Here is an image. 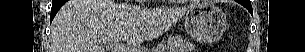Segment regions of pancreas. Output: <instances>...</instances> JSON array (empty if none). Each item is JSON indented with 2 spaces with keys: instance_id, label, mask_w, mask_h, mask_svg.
<instances>
[{
  "instance_id": "cf45deb5",
  "label": "pancreas",
  "mask_w": 305,
  "mask_h": 52,
  "mask_svg": "<svg viewBox=\"0 0 305 52\" xmlns=\"http://www.w3.org/2000/svg\"><path fill=\"white\" fill-rule=\"evenodd\" d=\"M193 48L190 40L181 36L170 37L163 46L165 52H191Z\"/></svg>"
}]
</instances>
